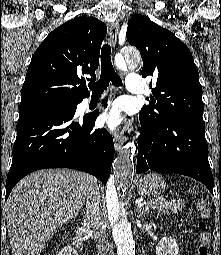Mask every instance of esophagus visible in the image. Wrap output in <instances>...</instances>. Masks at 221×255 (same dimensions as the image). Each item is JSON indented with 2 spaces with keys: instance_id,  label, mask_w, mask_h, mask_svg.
Here are the masks:
<instances>
[{
  "instance_id": "obj_1",
  "label": "esophagus",
  "mask_w": 221,
  "mask_h": 255,
  "mask_svg": "<svg viewBox=\"0 0 221 255\" xmlns=\"http://www.w3.org/2000/svg\"><path fill=\"white\" fill-rule=\"evenodd\" d=\"M119 31V24L114 21L110 25V43L114 48L117 42V36ZM124 144V136L122 132H114V146L117 151H119Z\"/></svg>"
}]
</instances>
